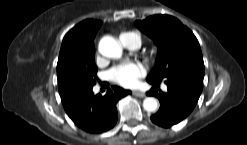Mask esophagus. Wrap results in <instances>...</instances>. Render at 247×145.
Listing matches in <instances>:
<instances>
[{"label": "esophagus", "instance_id": "34e87169", "mask_svg": "<svg viewBox=\"0 0 247 145\" xmlns=\"http://www.w3.org/2000/svg\"><path fill=\"white\" fill-rule=\"evenodd\" d=\"M133 95H135L137 97H140V98L145 97V93L141 92V91H138V90L133 91Z\"/></svg>", "mask_w": 247, "mask_h": 145}]
</instances>
